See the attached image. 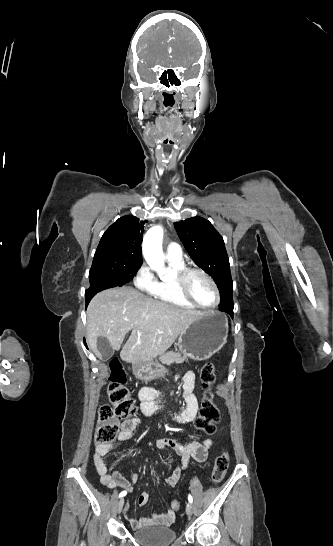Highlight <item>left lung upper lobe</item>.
I'll return each instance as SVG.
<instances>
[{
    "mask_svg": "<svg viewBox=\"0 0 333 546\" xmlns=\"http://www.w3.org/2000/svg\"><path fill=\"white\" fill-rule=\"evenodd\" d=\"M193 261L215 280L221 295L219 309L233 317V281L222 236L202 217L174 223Z\"/></svg>",
    "mask_w": 333,
    "mask_h": 546,
    "instance_id": "obj_1",
    "label": "left lung upper lobe"
}]
</instances>
